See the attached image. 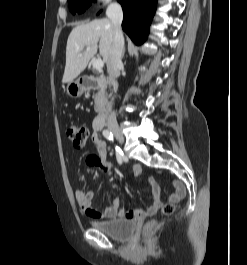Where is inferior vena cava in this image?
<instances>
[{"label": "inferior vena cava", "instance_id": "602c4592", "mask_svg": "<svg viewBox=\"0 0 247 265\" xmlns=\"http://www.w3.org/2000/svg\"><path fill=\"white\" fill-rule=\"evenodd\" d=\"M107 17L113 24V41L109 50L107 59V71L112 77H119L120 68L122 67L121 56L124 49V37L121 29L123 20V11L121 5L118 3H111L106 11ZM108 125L117 123L115 112L111 113L107 119Z\"/></svg>", "mask_w": 247, "mask_h": 265}]
</instances>
